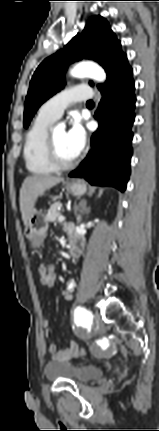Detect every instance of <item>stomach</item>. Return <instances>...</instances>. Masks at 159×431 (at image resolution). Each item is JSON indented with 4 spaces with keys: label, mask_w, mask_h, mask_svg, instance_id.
Here are the masks:
<instances>
[{
    "label": "stomach",
    "mask_w": 159,
    "mask_h": 431,
    "mask_svg": "<svg viewBox=\"0 0 159 431\" xmlns=\"http://www.w3.org/2000/svg\"><path fill=\"white\" fill-rule=\"evenodd\" d=\"M68 193L81 196L86 192V185L80 180L68 181L65 186ZM48 221L42 211L34 210L28 224L25 226V236L31 248H39L47 236Z\"/></svg>",
    "instance_id": "0dacf381"
}]
</instances>
